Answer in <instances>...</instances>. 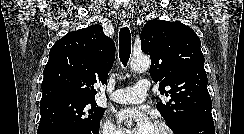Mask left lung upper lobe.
<instances>
[{
    "mask_svg": "<svg viewBox=\"0 0 244 134\" xmlns=\"http://www.w3.org/2000/svg\"><path fill=\"white\" fill-rule=\"evenodd\" d=\"M142 51L151 58L150 75L169 97L157 109L175 131L187 119L213 120L204 56L197 34L181 22L148 21L141 32ZM168 87L169 90H166Z\"/></svg>",
    "mask_w": 244,
    "mask_h": 134,
    "instance_id": "left-lung-upper-lobe-1",
    "label": "left lung upper lobe"
}]
</instances>
